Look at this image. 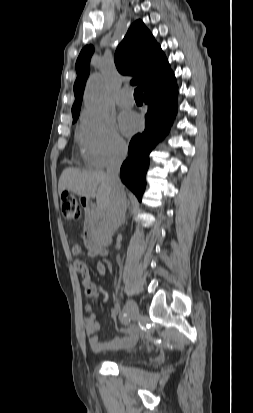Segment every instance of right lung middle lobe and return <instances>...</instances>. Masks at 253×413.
<instances>
[{"instance_id": "dd1d6c3e", "label": "right lung middle lobe", "mask_w": 253, "mask_h": 413, "mask_svg": "<svg viewBox=\"0 0 253 413\" xmlns=\"http://www.w3.org/2000/svg\"><path fill=\"white\" fill-rule=\"evenodd\" d=\"M77 121V118L73 119V123Z\"/></svg>"}]
</instances>
